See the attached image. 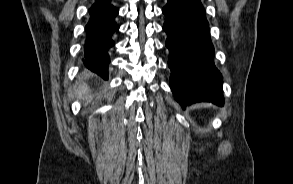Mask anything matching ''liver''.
<instances>
[{"instance_id": "obj_1", "label": "liver", "mask_w": 293, "mask_h": 184, "mask_svg": "<svg viewBox=\"0 0 293 184\" xmlns=\"http://www.w3.org/2000/svg\"><path fill=\"white\" fill-rule=\"evenodd\" d=\"M77 98L83 99V101L89 102L91 99V96L88 94V88L84 84L80 85L76 90Z\"/></svg>"}]
</instances>
